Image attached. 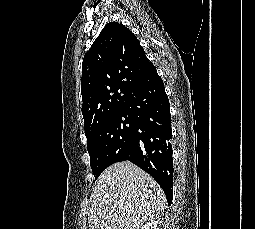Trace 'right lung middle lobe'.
I'll return each mask as SVG.
<instances>
[{"mask_svg": "<svg viewBox=\"0 0 255 229\" xmlns=\"http://www.w3.org/2000/svg\"><path fill=\"white\" fill-rule=\"evenodd\" d=\"M134 130L133 118L121 111L87 138L90 166L96 179L111 164L129 158Z\"/></svg>", "mask_w": 255, "mask_h": 229, "instance_id": "obj_1", "label": "right lung middle lobe"}]
</instances>
